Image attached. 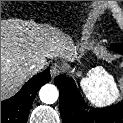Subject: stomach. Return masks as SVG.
I'll return each instance as SVG.
<instances>
[{
	"mask_svg": "<svg viewBox=\"0 0 123 123\" xmlns=\"http://www.w3.org/2000/svg\"><path fill=\"white\" fill-rule=\"evenodd\" d=\"M80 75H81V73H80V72H78V73H77V76H80Z\"/></svg>",
	"mask_w": 123,
	"mask_h": 123,
	"instance_id": "0dacf381",
	"label": "stomach"
}]
</instances>
